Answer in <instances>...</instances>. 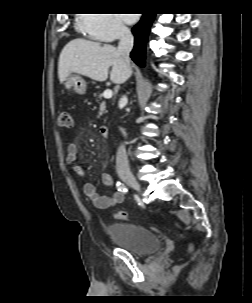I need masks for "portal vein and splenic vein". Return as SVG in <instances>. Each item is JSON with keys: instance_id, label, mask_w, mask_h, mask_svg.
Listing matches in <instances>:
<instances>
[{"instance_id": "1", "label": "portal vein and splenic vein", "mask_w": 252, "mask_h": 303, "mask_svg": "<svg viewBox=\"0 0 252 303\" xmlns=\"http://www.w3.org/2000/svg\"><path fill=\"white\" fill-rule=\"evenodd\" d=\"M112 96H113V92L110 89H106L103 92V97L106 98V99H110V98H112Z\"/></svg>"}]
</instances>
